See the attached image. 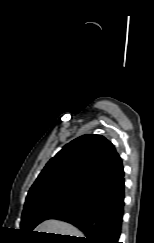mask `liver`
Wrapping results in <instances>:
<instances>
[{"label":"liver","mask_w":154,"mask_h":243,"mask_svg":"<svg viewBox=\"0 0 154 243\" xmlns=\"http://www.w3.org/2000/svg\"><path fill=\"white\" fill-rule=\"evenodd\" d=\"M38 232L82 237V233L71 224L59 220H46L35 229Z\"/></svg>","instance_id":"1"}]
</instances>
